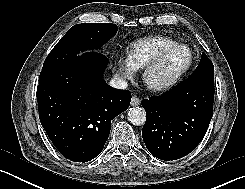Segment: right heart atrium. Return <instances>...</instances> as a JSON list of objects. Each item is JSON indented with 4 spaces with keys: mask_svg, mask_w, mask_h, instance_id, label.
I'll list each match as a JSON object with an SVG mask.
<instances>
[{
    "mask_svg": "<svg viewBox=\"0 0 245 189\" xmlns=\"http://www.w3.org/2000/svg\"><path fill=\"white\" fill-rule=\"evenodd\" d=\"M117 74L123 79H132L135 75L136 69L129 62L128 58H118L115 61Z\"/></svg>",
    "mask_w": 245,
    "mask_h": 189,
    "instance_id": "d8ad5b80",
    "label": "right heart atrium"
}]
</instances>
